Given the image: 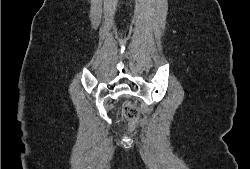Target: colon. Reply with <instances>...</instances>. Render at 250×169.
Wrapping results in <instances>:
<instances>
[{"instance_id":"colon-1","label":"colon","mask_w":250,"mask_h":169,"mask_svg":"<svg viewBox=\"0 0 250 169\" xmlns=\"http://www.w3.org/2000/svg\"><path fill=\"white\" fill-rule=\"evenodd\" d=\"M134 99H125L124 102L120 103L121 111H123V115H125V120H132L133 122H129V126L127 127L126 134L130 135L131 131H136L137 127H140V122H138L141 119V116L138 115V110L135 109V106H131L134 104Z\"/></svg>"}]
</instances>
